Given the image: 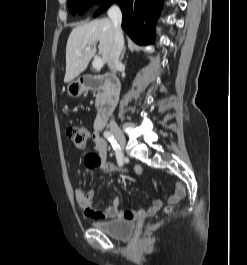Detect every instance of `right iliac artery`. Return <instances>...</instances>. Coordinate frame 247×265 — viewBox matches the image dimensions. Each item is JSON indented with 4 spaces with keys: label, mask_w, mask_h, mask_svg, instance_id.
<instances>
[{
    "label": "right iliac artery",
    "mask_w": 247,
    "mask_h": 265,
    "mask_svg": "<svg viewBox=\"0 0 247 265\" xmlns=\"http://www.w3.org/2000/svg\"><path fill=\"white\" fill-rule=\"evenodd\" d=\"M104 137L112 144L113 149L115 150L117 162L119 166H122L123 165V154L113 134L110 131H105Z\"/></svg>",
    "instance_id": "1"
}]
</instances>
